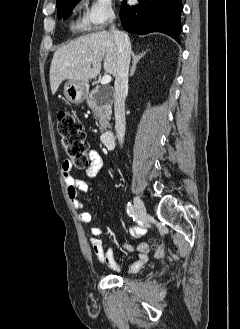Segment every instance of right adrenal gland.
I'll return each mask as SVG.
<instances>
[{"instance_id": "obj_1", "label": "right adrenal gland", "mask_w": 240, "mask_h": 329, "mask_svg": "<svg viewBox=\"0 0 240 329\" xmlns=\"http://www.w3.org/2000/svg\"><path fill=\"white\" fill-rule=\"evenodd\" d=\"M146 52H147V50L146 51H143L139 55H135L134 52H132V59L133 60H132V67H131V70H130V76H133L134 75V72L136 70L137 63L146 54Z\"/></svg>"}]
</instances>
